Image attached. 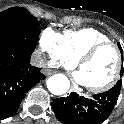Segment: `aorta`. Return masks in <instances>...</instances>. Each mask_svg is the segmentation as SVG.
I'll return each mask as SVG.
<instances>
[{
  "instance_id": "1",
  "label": "aorta",
  "mask_w": 124,
  "mask_h": 124,
  "mask_svg": "<svg viewBox=\"0 0 124 124\" xmlns=\"http://www.w3.org/2000/svg\"><path fill=\"white\" fill-rule=\"evenodd\" d=\"M70 83L68 78L63 74H56L47 81L48 90L54 95H63L69 89Z\"/></svg>"
}]
</instances>
